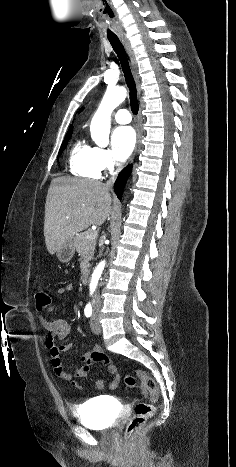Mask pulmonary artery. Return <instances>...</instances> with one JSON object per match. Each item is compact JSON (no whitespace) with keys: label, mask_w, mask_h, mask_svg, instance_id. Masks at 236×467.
<instances>
[{"label":"pulmonary artery","mask_w":236,"mask_h":467,"mask_svg":"<svg viewBox=\"0 0 236 467\" xmlns=\"http://www.w3.org/2000/svg\"><path fill=\"white\" fill-rule=\"evenodd\" d=\"M114 120L119 124H127L131 121V115L128 110L121 109L114 114Z\"/></svg>","instance_id":"1"}]
</instances>
